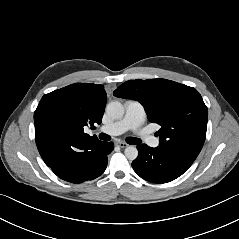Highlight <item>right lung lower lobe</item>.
<instances>
[{
  "label": "right lung lower lobe",
  "mask_w": 239,
  "mask_h": 239,
  "mask_svg": "<svg viewBox=\"0 0 239 239\" xmlns=\"http://www.w3.org/2000/svg\"><path fill=\"white\" fill-rule=\"evenodd\" d=\"M112 150V142L77 143L62 148L48 166L59 178L78 184L99 177Z\"/></svg>",
  "instance_id": "right-lung-lower-lobe-1"
}]
</instances>
